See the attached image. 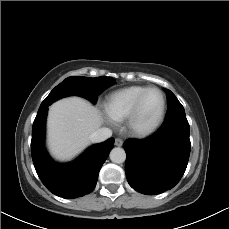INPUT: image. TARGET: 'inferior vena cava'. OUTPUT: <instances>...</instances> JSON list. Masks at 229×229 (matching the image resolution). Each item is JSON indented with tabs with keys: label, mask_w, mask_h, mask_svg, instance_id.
Segmentation results:
<instances>
[{
	"label": "inferior vena cava",
	"mask_w": 229,
	"mask_h": 229,
	"mask_svg": "<svg viewBox=\"0 0 229 229\" xmlns=\"http://www.w3.org/2000/svg\"><path fill=\"white\" fill-rule=\"evenodd\" d=\"M112 136V131L109 128H99L90 135V140L94 143L103 142Z\"/></svg>",
	"instance_id": "1"
}]
</instances>
